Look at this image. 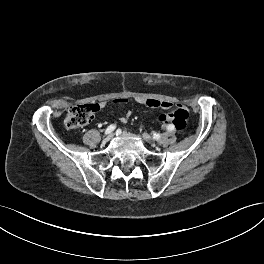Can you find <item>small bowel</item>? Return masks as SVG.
I'll use <instances>...</instances> for the list:
<instances>
[{
    "mask_svg": "<svg viewBox=\"0 0 264 264\" xmlns=\"http://www.w3.org/2000/svg\"><path fill=\"white\" fill-rule=\"evenodd\" d=\"M127 100L126 99H118L116 100L115 102L117 103H123V102H126ZM138 103L142 104V105H145L147 107H151V108H160V109H170L173 104L171 102H168V101H160V100H156V99H150V98H138L136 100ZM100 107H104L105 106V103L102 102L100 104H98ZM130 116V113H127L126 115L122 116L120 118V121L122 123H126L128 121V118Z\"/></svg>",
    "mask_w": 264,
    "mask_h": 264,
    "instance_id": "obj_1",
    "label": "small bowel"
}]
</instances>
